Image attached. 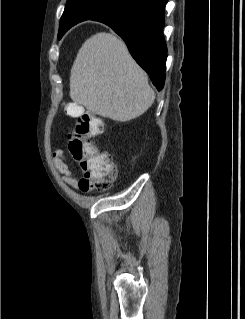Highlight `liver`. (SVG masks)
<instances>
[{
    "instance_id": "6515ba94",
    "label": "liver",
    "mask_w": 245,
    "mask_h": 319,
    "mask_svg": "<svg viewBox=\"0 0 245 319\" xmlns=\"http://www.w3.org/2000/svg\"><path fill=\"white\" fill-rule=\"evenodd\" d=\"M70 97L92 113L126 122L146 112L155 93L124 42L101 32L88 38L77 53L70 74Z\"/></svg>"
}]
</instances>
